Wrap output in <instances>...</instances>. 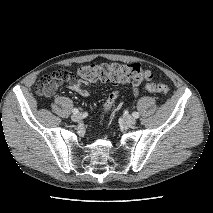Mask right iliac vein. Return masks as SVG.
I'll use <instances>...</instances> for the list:
<instances>
[{
    "label": "right iliac vein",
    "instance_id": "63e3f726",
    "mask_svg": "<svg viewBox=\"0 0 213 213\" xmlns=\"http://www.w3.org/2000/svg\"><path fill=\"white\" fill-rule=\"evenodd\" d=\"M71 119H72V121H74V122H79L81 119H82V115L81 114H73L72 116H71Z\"/></svg>",
    "mask_w": 213,
    "mask_h": 213
}]
</instances>
